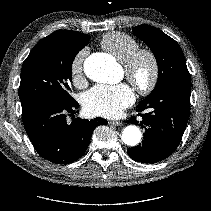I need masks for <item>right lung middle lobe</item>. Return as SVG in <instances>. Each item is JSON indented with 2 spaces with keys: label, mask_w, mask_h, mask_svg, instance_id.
I'll return each instance as SVG.
<instances>
[{
  "label": "right lung middle lobe",
  "mask_w": 211,
  "mask_h": 211,
  "mask_svg": "<svg viewBox=\"0 0 211 211\" xmlns=\"http://www.w3.org/2000/svg\"><path fill=\"white\" fill-rule=\"evenodd\" d=\"M90 36L73 33L47 36L39 41L23 63L19 98L22 109L43 100L70 103L72 63Z\"/></svg>",
  "instance_id": "right-lung-middle-lobe-1"
}]
</instances>
